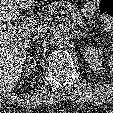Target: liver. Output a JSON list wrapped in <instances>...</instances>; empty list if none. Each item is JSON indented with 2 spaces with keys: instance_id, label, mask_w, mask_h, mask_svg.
Wrapping results in <instances>:
<instances>
[{
  "instance_id": "6515ba94",
  "label": "liver",
  "mask_w": 113,
  "mask_h": 113,
  "mask_svg": "<svg viewBox=\"0 0 113 113\" xmlns=\"http://www.w3.org/2000/svg\"><path fill=\"white\" fill-rule=\"evenodd\" d=\"M36 0H0V91L10 92L18 83L30 44V30L17 32L12 25L19 8L31 9ZM39 21L31 26L38 25Z\"/></svg>"
}]
</instances>
